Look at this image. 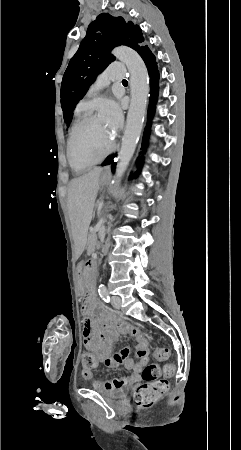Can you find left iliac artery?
<instances>
[{"label":"left iliac artery","mask_w":241,"mask_h":450,"mask_svg":"<svg viewBox=\"0 0 241 450\" xmlns=\"http://www.w3.org/2000/svg\"><path fill=\"white\" fill-rule=\"evenodd\" d=\"M99 295L100 297L107 303L110 302V296H109V292L106 288V286L104 285H100L99 289H98Z\"/></svg>","instance_id":"left-iliac-artery-1"}]
</instances>
